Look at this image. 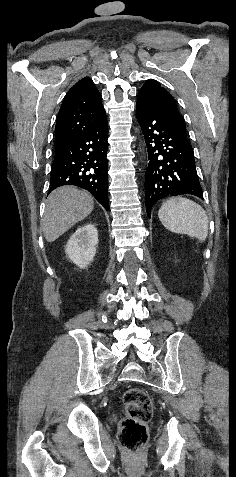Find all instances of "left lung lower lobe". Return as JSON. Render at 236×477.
I'll return each mask as SVG.
<instances>
[{
  "instance_id": "1",
  "label": "left lung lower lobe",
  "mask_w": 236,
  "mask_h": 477,
  "mask_svg": "<svg viewBox=\"0 0 236 477\" xmlns=\"http://www.w3.org/2000/svg\"><path fill=\"white\" fill-rule=\"evenodd\" d=\"M136 110L149 155L144 184L148 217L153 205L165 197L190 194L203 199L187 136L142 94H138Z\"/></svg>"
}]
</instances>
